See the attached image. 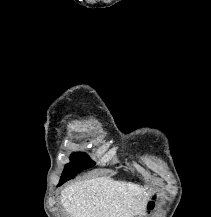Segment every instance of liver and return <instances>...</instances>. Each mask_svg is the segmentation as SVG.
<instances>
[{"label":"liver","mask_w":211,"mask_h":217,"mask_svg":"<svg viewBox=\"0 0 211 217\" xmlns=\"http://www.w3.org/2000/svg\"><path fill=\"white\" fill-rule=\"evenodd\" d=\"M149 196L140 185L103 176L67 186L60 200L70 217H142Z\"/></svg>","instance_id":"1"}]
</instances>
